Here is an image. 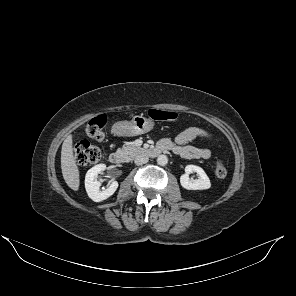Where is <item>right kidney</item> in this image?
Listing matches in <instances>:
<instances>
[{
	"label": "right kidney",
	"instance_id": "right-kidney-1",
	"mask_svg": "<svg viewBox=\"0 0 296 296\" xmlns=\"http://www.w3.org/2000/svg\"><path fill=\"white\" fill-rule=\"evenodd\" d=\"M106 169L105 164H98L88 170L85 177V188L89 198L94 202H101L112 196L118 188V182L113 181L105 190H100L101 181L97 179L98 174Z\"/></svg>",
	"mask_w": 296,
	"mask_h": 296
}]
</instances>
